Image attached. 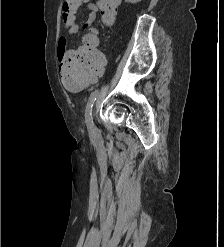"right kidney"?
Returning <instances> with one entry per match:
<instances>
[{"instance_id": "1", "label": "right kidney", "mask_w": 224, "mask_h": 247, "mask_svg": "<svg viewBox=\"0 0 224 247\" xmlns=\"http://www.w3.org/2000/svg\"><path fill=\"white\" fill-rule=\"evenodd\" d=\"M125 2H130V4H137V2H141V0H125Z\"/></svg>"}]
</instances>
